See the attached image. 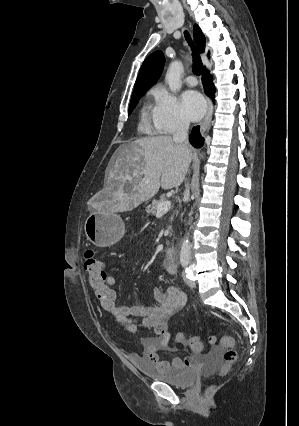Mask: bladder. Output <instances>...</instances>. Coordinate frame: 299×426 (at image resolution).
I'll return each mask as SVG.
<instances>
[{"instance_id": "31cf9c89", "label": "bladder", "mask_w": 299, "mask_h": 426, "mask_svg": "<svg viewBox=\"0 0 299 426\" xmlns=\"http://www.w3.org/2000/svg\"><path fill=\"white\" fill-rule=\"evenodd\" d=\"M138 368L149 379L170 384L179 388H188L194 384L197 378L196 371L192 368L168 366L157 368L143 360L134 361Z\"/></svg>"}]
</instances>
